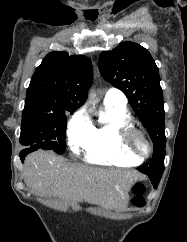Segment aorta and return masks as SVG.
Instances as JSON below:
<instances>
[{
    "instance_id": "1",
    "label": "aorta",
    "mask_w": 187,
    "mask_h": 242,
    "mask_svg": "<svg viewBox=\"0 0 187 242\" xmlns=\"http://www.w3.org/2000/svg\"><path fill=\"white\" fill-rule=\"evenodd\" d=\"M89 97H90V98H94V97H95V94L93 93V91H90V92H89Z\"/></svg>"
}]
</instances>
